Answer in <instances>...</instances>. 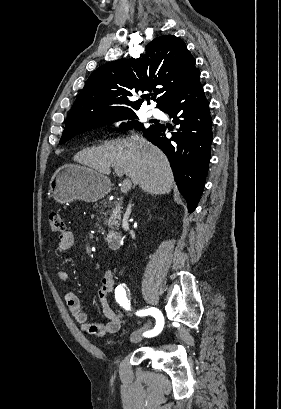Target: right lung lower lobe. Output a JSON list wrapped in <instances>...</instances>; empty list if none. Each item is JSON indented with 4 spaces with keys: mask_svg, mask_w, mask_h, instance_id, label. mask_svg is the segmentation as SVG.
<instances>
[{
    "mask_svg": "<svg viewBox=\"0 0 281 409\" xmlns=\"http://www.w3.org/2000/svg\"><path fill=\"white\" fill-rule=\"evenodd\" d=\"M199 77L198 70L160 108L177 127L156 123L143 133L167 155L189 213L195 210L204 188L213 139L209 104Z\"/></svg>",
    "mask_w": 281,
    "mask_h": 409,
    "instance_id": "obj_1",
    "label": "right lung lower lobe"
}]
</instances>
